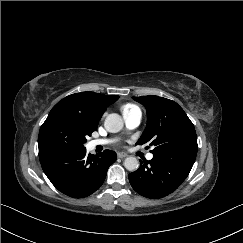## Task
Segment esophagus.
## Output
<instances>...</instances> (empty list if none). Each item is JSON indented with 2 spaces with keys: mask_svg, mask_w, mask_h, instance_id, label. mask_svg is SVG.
<instances>
[{
  "mask_svg": "<svg viewBox=\"0 0 243 243\" xmlns=\"http://www.w3.org/2000/svg\"><path fill=\"white\" fill-rule=\"evenodd\" d=\"M117 156H118L119 158H125V157L128 156V154L125 153V152H118V153H117Z\"/></svg>",
  "mask_w": 243,
  "mask_h": 243,
  "instance_id": "1",
  "label": "esophagus"
}]
</instances>
